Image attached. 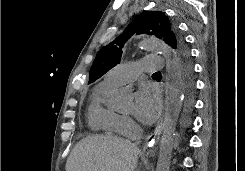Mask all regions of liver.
<instances>
[{"mask_svg": "<svg viewBox=\"0 0 245 171\" xmlns=\"http://www.w3.org/2000/svg\"><path fill=\"white\" fill-rule=\"evenodd\" d=\"M140 153L136 144L113 136H88L70 153L66 171H134Z\"/></svg>", "mask_w": 245, "mask_h": 171, "instance_id": "liver-1", "label": "liver"}]
</instances>
